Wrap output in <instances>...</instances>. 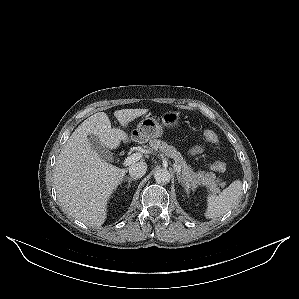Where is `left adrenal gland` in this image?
I'll use <instances>...</instances> for the list:
<instances>
[{
    "mask_svg": "<svg viewBox=\"0 0 299 299\" xmlns=\"http://www.w3.org/2000/svg\"><path fill=\"white\" fill-rule=\"evenodd\" d=\"M176 175H177L178 182H179V183H180V182L182 183L183 178L181 177L180 173H176Z\"/></svg>",
    "mask_w": 299,
    "mask_h": 299,
    "instance_id": "1",
    "label": "left adrenal gland"
}]
</instances>
